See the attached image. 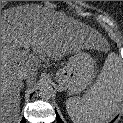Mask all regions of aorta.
Listing matches in <instances>:
<instances>
[{"label":"aorta","mask_w":123,"mask_h":123,"mask_svg":"<svg viewBox=\"0 0 123 123\" xmlns=\"http://www.w3.org/2000/svg\"><path fill=\"white\" fill-rule=\"evenodd\" d=\"M53 95V88L49 85H44L41 87L39 91V97H41L43 100H49L51 99Z\"/></svg>","instance_id":"aorta-1"}]
</instances>
